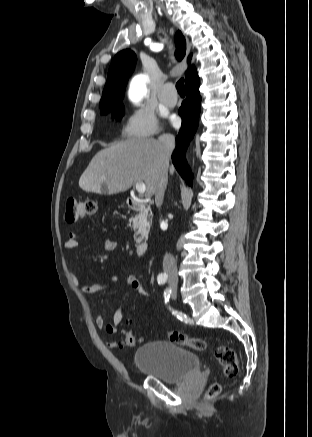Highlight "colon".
I'll return each instance as SVG.
<instances>
[{
    "label": "colon",
    "mask_w": 312,
    "mask_h": 437,
    "mask_svg": "<svg viewBox=\"0 0 312 437\" xmlns=\"http://www.w3.org/2000/svg\"><path fill=\"white\" fill-rule=\"evenodd\" d=\"M98 209L97 203L91 199H76L69 198L66 202V221L74 223L78 220L90 217L96 213ZM129 323L130 321L127 320ZM163 336L169 341L178 345L190 347L196 351H203L206 349V342L200 338L189 337L178 331H167ZM123 343L129 347H135L139 344L137 337L131 332L126 331L124 334ZM215 359L223 367L224 374L227 377H234L238 374L239 365L236 353L228 346H218L215 349ZM221 391V386L218 383L213 384L207 393L209 398L216 397Z\"/></svg>",
    "instance_id": "1"
}]
</instances>
